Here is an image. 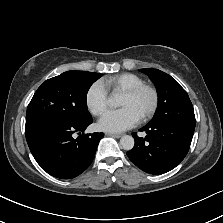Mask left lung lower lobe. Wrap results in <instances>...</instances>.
<instances>
[{
	"label": "left lung lower lobe",
	"mask_w": 223,
	"mask_h": 223,
	"mask_svg": "<svg viewBox=\"0 0 223 223\" xmlns=\"http://www.w3.org/2000/svg\"><path fill=\"white\" fill-rule=\"evenodd\" d=\"M195 127L175 124H147L145 138L133 133L135 145L127 152L129 159L149 174H163L175 168L186 156Z\"/></svg>",
	"instance_id": "left-lung-lower-lobe-1"
}]
</instances>
